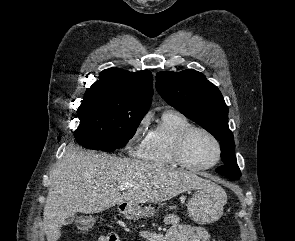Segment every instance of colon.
<instances>
[{
    "mask_svg": "<svg viewBox=\"0 0 295 241\" xmlns=\"http://www.w3.org/2000/svg\"><path fill=\"white\" fill-rule=\"evenodd\" d=\"M86 221H87V223H86V224H87V226H88V227H91V226L94 224V221H93V219H92V218H87V220H86Z\"/></svg>",
    "mask_w": 295,
    "mask_h": 241,
    "instance_id": "5ec220e1",
    "label": "colon"
}]
</instances>
